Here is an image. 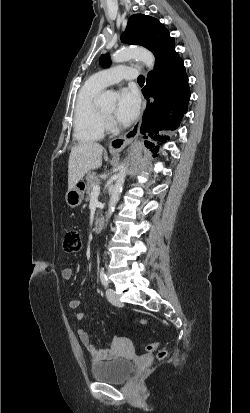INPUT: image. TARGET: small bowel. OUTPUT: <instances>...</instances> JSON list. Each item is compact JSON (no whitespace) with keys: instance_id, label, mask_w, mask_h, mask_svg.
Returning <instances> with one entry per match:
<instances>
[{"instance_id":"obj_1","label":"small bowel","mask_w":250,"mask_h":413,"mask_svg":"<svg viewBox=\"0 0 250 413\" xmlns=\"http://www.w3.org/2000/svg\"><path fill=\"white\" fill-rule=\"evenodd\" d=\"M73 274H74L73 267H67L62 270V277L64 279L68 280L72 278ZM81 305H82V301L79 299L69 300V306L72 309H78L81 307ZM85 317H86L85 312H79L76 315V319L78 321L83 320ZM77 335L82 345L86 348V350L88 351L92 359L95 361L112 360L116 358L122 346V339L117 336H113L111 338V343L108 348L98 349L97 347H95V345L91 343L90 334L85 328H79L77 330Z\"/></svg>"}]
</instances>
